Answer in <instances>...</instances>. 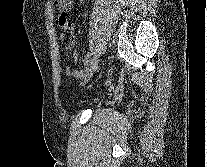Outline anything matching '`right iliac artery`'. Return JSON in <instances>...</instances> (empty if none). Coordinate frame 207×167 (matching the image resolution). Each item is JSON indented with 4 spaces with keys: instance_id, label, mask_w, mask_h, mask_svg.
<instances>
[{
    "instance_id": "right-iliac-artery-1",
    "label": "right iliac artery",
    "mask_w": 207,
    "mask_h": 167,
    "mask_svg": "<svg viewBox=\"0 0 207 167\" xmlns=\"http://www.w3.org/2000/svg\"><path fill=\"white\" fill-rule=\"evenodd\" d=\"M90 59H91V54L88 53V54H87V59H86V61H85V65H87L88 62H90Z\"/></svg>"
}]
</instances>
